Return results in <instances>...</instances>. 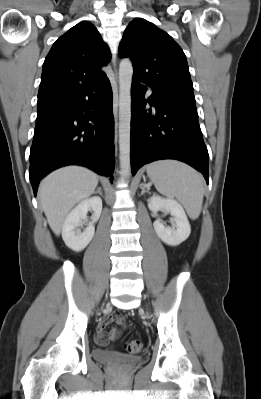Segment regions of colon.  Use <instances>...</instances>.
I'll return each instance as SVG.
<instances>
[{
  "label": "colon",
  "mask_w": 261,
  "mask_h": 399,
  "mask_svg": "<svg viewBox=\"0 0 261 399\" xmlns=\"http://www.w3.org/2000/svg\"><path fill=\"white\" fill-rule=\"evenodd\" d=\"M143 349V343L141 340H131L125 344V350L130 354H138Z\"/></svg>",
  "instance_id": "1"
}]
</instances>
